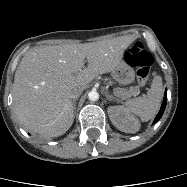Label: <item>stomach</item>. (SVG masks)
<instances>
[{"instance_id": "obj_1", "label": "stomach", "mask_w": 187, "mask_h": 187, "mask_svg": "<svg viewBox=\"0 0 187 187\" xmlns=\"http://www.w3.org/2000/svg\"><path fill=\"white\" fill-rule=\"evenodd\" d=\"M112 77L121 84H129L134 80L135 72L128 63L122 61L112 71Z\"/></svg>"}]
</instances>
